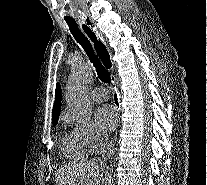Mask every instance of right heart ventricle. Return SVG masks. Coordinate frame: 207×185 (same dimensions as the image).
Here are the masks:
<instances>
[{"mask_svg": "<svg viewBox=\"0 0 207 185\" xmlns=\"http://www.w3.org/2000/svg\"><path fill=\"white\" fill-rule=\"evenodd\" d=\"M64 153L71 159L83 160L93 155L94 151L75 134L68 135L63 140Z\"/></svg>", "mask_w": 207, "mask_h": 185, "instance_id": "1", "label": "right heart ventricle"}]
</instances>
